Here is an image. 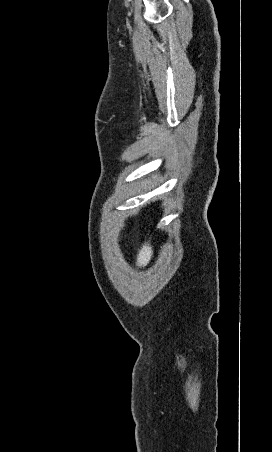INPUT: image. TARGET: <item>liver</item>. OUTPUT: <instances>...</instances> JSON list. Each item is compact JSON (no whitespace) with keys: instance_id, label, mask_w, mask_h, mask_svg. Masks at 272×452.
I'll list each match as a JSON object with an SVG mask.
<instances>
[{"instance_id":"1","label":"liver","mask_w":272,"mask_h":452,"mask_svg":"<svg viewBox=\"0 0 272 452\" xmlns=\"http://www.w3.org/2000/svg\"><path fill=\"white\" fill-rule=\"evenodd\" d=\"M152 255H153L152 247L148 243H145L141 250L139 251V254L137 255L136 263L137 266L139 267L146 266L149 263Z\"/></svg>"}]
</instances>
